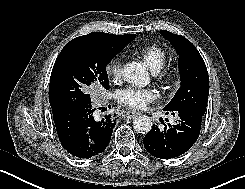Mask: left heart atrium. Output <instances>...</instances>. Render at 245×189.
Here are the masks:
<instances>
[{"label":"left heart atrium","mask_w":245,"mask_h":189,"mask_svg":"<svg viewBox=\"0 0 245 189\" xmlns=\"http://www.w3.org/2000/svg\"><path fill=\"white\" fill-rule=\"evenodd\" d=\"M117 97L122 105L140 109L150 103L156 97V93L152 89L128 86L119 90Z\"/></svg>","instance_id":"39dd6f15"}]
</instances>
